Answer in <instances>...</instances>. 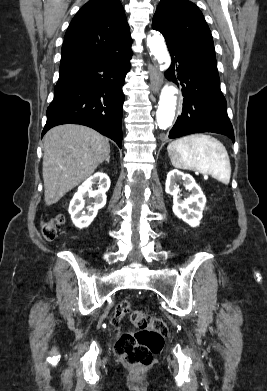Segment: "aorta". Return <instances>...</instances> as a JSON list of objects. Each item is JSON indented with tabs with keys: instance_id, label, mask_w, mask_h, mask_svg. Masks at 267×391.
I'll use <instances>...</instances> for the list:
<instances>
[{
	"instance_id": "obj_1",
	"label": "aorta",
	"mask_w": 267,
	"mask_h": 391,
	"mask_svg": "<svg viewBox=\"0 0 267 391\" xmlns=\"http://www.w3.org/2000/svg\"><path fill=\"white\" fill-rule=\"evenodd\" d=\"M147 45L150 49V54L160 64V70L168 69L170 57L164 38L158 32L153 31L147 36ZM177 93V89L168 84L161 90L156 120L158 127L162 130L167 129L173 122L177 105Z\"/></svg>"
}]
</instances>
